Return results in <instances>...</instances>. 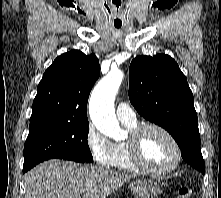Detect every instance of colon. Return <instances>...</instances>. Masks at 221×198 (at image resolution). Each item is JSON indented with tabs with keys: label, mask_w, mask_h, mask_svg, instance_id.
Wrapping results in <instances>:
<instances>
[{
	"label": "colon",
	"mask_w": 221,
	"mask_h": 198,
	"mask_svg": "<svg viewBox=\"0 0 221 198\" xmlns=\"http://www.w3.org/2000/svg\"><path fill=\"white\" fill-rule=\"evenodd\" d=\"M191 191L188 188H181L178 192L177 198H190Z\"/></svg>",
	"instance_id": "1"
}]
</instances>
